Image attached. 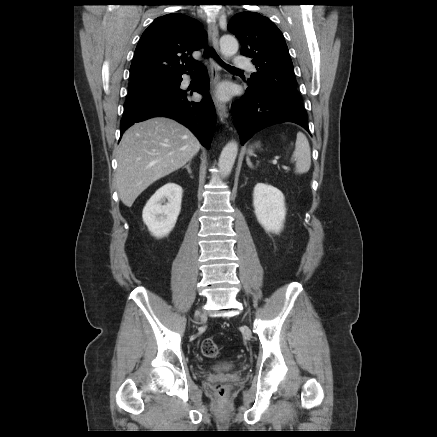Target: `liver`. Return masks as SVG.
Listing matches in <instances>:
<instances>
[{
	"label": "liver",
	"instance_id": "6515ba94",
	"mask_svg": "<svg viewBox=\"0 0 437 437\" xmlns=\"http://www.w3.org/2000/svg\"><path fill=\"white\" fill-rule=\"evenodd\" d=\"M200 147L189 129L169 118H152L131 126L116 152L115 181L123 204L131 207L146 188L183 167Z\"/></svg>",
	"mask_w": 437,
	"mask_h": 437
}]
</instances>
